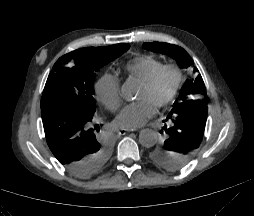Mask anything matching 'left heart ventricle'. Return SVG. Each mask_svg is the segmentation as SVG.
Returning <instances> with one entry per match:
<instances>
[{"label": "left heart ventricle", "instance_id": "left-heart-ventricle-1", "mask_svg": "<svg viewBox=\"0 0 254 216\" xmlns=\"http://www.w3.org/2000/svg\"><path fill=\"white\" fill-rule=\"evenodd\" d=\"M173 84V75L170 72L163 73L156 84L152 88H145L143 85L139 87L137 98L147 99L156 105L159 101L166 97Z\"/></svg>", "mask_w": 254, "mask_h": 216}]
</instances>
